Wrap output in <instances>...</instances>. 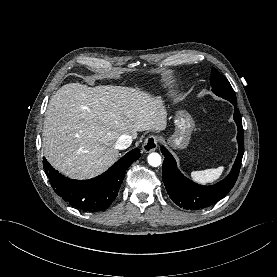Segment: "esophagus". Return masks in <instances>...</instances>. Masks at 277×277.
<instances>
[{"label":"esophagus","instance_id":"obj_1","mask_svg":"<svg viewBox=\"0 0 277 277\" xmlns=\"http://www.w3.org/2000/svg\"><path fill=\"white\" fill-rule=\"evenodd\" d=\"M158 144H159V138L157 136L150 135L145 139L142 145V149L146 153L152 152L157 149Z\"/></svg>","mask_w":277,"mask_h":277}]
</instances>
